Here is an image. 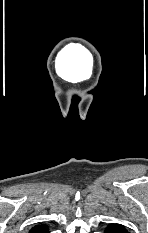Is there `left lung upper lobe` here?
Segmentation results:
<instances>
[{"mask_svg":"<svg viewBox=\"0 0 148 233\" xmlns=\"http://www.w3.org/2000/svg\"><path fill=\"white\" fill-rule=\"evenodd\" d=\"M108 227L118 229L119 231H122V233H128L127 230L120 224H110Z\"/></svg>","mask_w":148,"mask_h":233,"instance_id":"obj_1","label":"left lung upper lobe"}]
</instances>
